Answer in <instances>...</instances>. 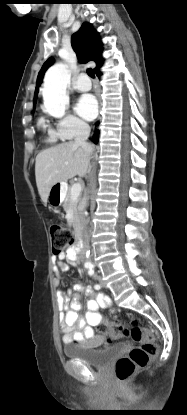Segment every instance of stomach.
<instances>
[{
    "label": "stomach",
    "instance_id": "obj_1",
    "mask_svg": "<svg viewBox=\"0 0 187 415\" xmlns=\"http://www.w3.org/2000/svg\"><path fill=\"white\" fill-rule=\"evenodd\" d=\"M64 183H57L52 186L49 192V203L53 208H58L63 200Z\"/></svg>",
    "mask_w": 187,
    "mask_h": 415
}]
</instances>
